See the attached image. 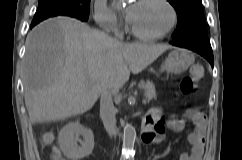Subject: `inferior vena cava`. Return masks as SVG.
Wrapping results in <instances>:
<instances>
[{
  "label": "inferior vena cava",
  "instance_id": "602c4592",
  "mask_svg": "<svg viewBox=\"0 0 242 160\" xmlns=\"http://www.w3.org/2000/svg\"><path fill=\"white\" fill-rule=\"evenodd\" d=\"M100 117L103 122L104 128L110 137L117 135L116 128V109L112 100V90L110 85L105 82L101 85L100 89Z\"/></svg>",
  "mask_w": 242,
  "mask_h": 160
}]
</instances>
